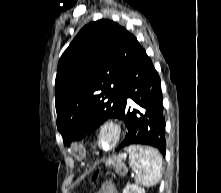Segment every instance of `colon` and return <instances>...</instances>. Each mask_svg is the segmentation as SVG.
<instances>
[{"label":"colon","mask_w":221,"mask_h":193,"mask_svg":"<svg viewBox=\"0 0 221 193\" xmlns=\"http://www.w3.org/2000/svg\"><path fill=\"white\" fill-rule=\"evenodd\" d=\"M96 180H97V173L93 175L92 182L94 183V182H96Z\"/></svg>","instance_id":"colon-1"}]
</instances>
